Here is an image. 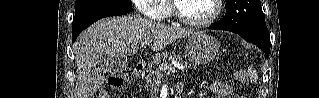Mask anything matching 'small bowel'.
I'll return each mask as SVG.
<instances>
[{
    "mask_svg": "<svg viewBox=\"0 0 319 98\" xmlns=\"http://www.w3.org/2000/svg\"><path fill=\"white\" fill-rule=\"evenodd\" d=\"M177 89L182 91V84H178ZM210 91L218 97H225L233 93V88L224 82L214 81L210 84Z\"/></svg>",
    "mask_w": 319,
    "mask_h": 98,
    "instance_id": "c3829d8e",
    "label": "small bowel"
}]
</instances>
